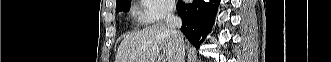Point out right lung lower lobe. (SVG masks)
Masks as SVG:
<instances>
[{
  "label": "right lung lower lobe",
  "mask_w": 331,
  "mask_h": 62,
  "mask_svg": "<svg viewBox=\"0 0 331 62\" xmlns=\"http://www.w3.org/2000/svg\"><path fill=\"white\" fill-rule=\"evenodd\" d=\"M219 3L220 0H210V2L193 0L190 4H185L182 0L178 1L177 10L182 18L181 31L196 48L211 31Z\"/></svg>",
  "instance_id": "right-lung-lower-lobe-1"
}]
</instances>
